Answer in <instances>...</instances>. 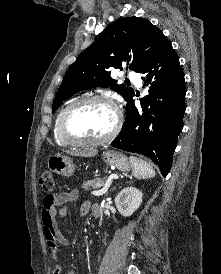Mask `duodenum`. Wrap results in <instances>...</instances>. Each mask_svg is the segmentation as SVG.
Masks as SVG:
<instances>
[{
	"label": "duodenum",
	"mask_w": 221,
	"mask_h": 274,
	"mask_svg": "<svg viewBox=\"0 0 221 274\" xmlns=\"http://www.w3.org/2000/svg\"><path fill=\"white\" fill-rule=\"evenodd\" d=\"M92 213H93V216H94L95 218H99L100 215H101V209H100V207H99L98 205H95V206L93 207V209H92Z\"/></svg>",
	"instance_id": "410a0bca"
}]
</instances>
